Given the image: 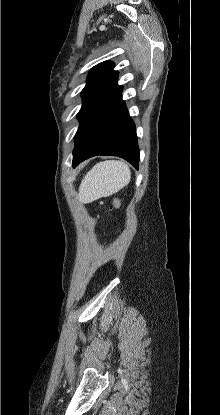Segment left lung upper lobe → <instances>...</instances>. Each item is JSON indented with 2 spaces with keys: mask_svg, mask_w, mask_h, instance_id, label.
I'll list each match as a JSON object with an SVG mask.
<instances>
[{
  "mask_svg": "<svg viewBox=\"0 0 220 415\" xmlns=\"http://www.w3.org/2000/svg\"><path fill=\"white\" fill-rule=\"evenodd\" d=\"M114 65L111 62H102L92 68L88 74L87 84L81 92L83 105L77 114L82 120L83 116L94 103L98 96L118 78L117 71L113 70Z\"/></svg>",
  "mask_w": 220,
  "mask_h": 415,
  "instance_id": "obj_1",
  "label": "left lung upper lobe"
}]
</instances>
